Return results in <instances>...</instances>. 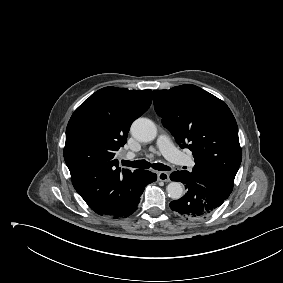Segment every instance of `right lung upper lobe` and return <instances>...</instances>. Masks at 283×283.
<instances>
[{
	"mask_svg": "<svg viewBox=\"0 0 283 283\" xmlns=\"http://www.w3.org/2000/svg\"><path fill=\"white\" fill-rule=\"evenodd\" d=\"M151 102V90L105 87L86 99L68 122L64 159L74 188L97 214L117 210L138 190L140 170L121 169L115 153Z\"/></svg>",
	"mask_w": 283,
	"mask_h": 283,
	"instance_id": "1",
	"label": "right lung upper lobe"
}]
</instances>
